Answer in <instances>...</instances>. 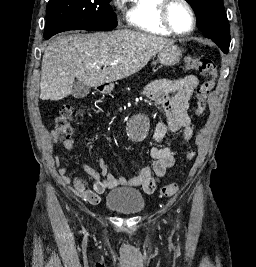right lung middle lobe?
Masks as SVG:
<instances>
[{
	"label": "right lung middle lobe",
	"instance_id": "right-lung-middle-lobe-1",
	"mask_svg": "<svg viewBox=\"0 0 256 267\" xmlns=\"http://www.w3.org/2000/svg\"><path fill=\"white\" fill-rule=\"evenodd\" d=\"M111 0H49L44 38L67 30H111L116 15Z\"/></svg>",
	"mask_w": 256,
	"mask_h": 267
}]
</instances>
